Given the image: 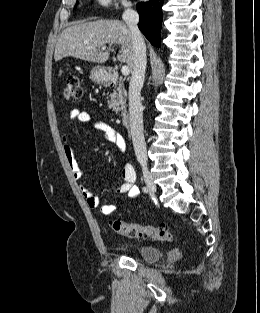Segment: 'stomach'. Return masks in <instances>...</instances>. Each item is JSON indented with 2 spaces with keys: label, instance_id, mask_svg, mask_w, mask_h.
Listing matches in <instances>:
<instances>
[{
  "label": "stomach",
  "instance_id": "1",
  "mask_svg": "<svg viewBox=\"0 0 260 313\" xmlns=\"http://www.w3.org/2000/svg\"><path fill=\"white\" fill-rule=\"evenodd\" d=\"M90 78L96 83H105L109 79V74L104 67L95 66L91 70Z\"/></svg>",
  "mask_w": 260,
  "mask_h": 313
}]
</instances>
